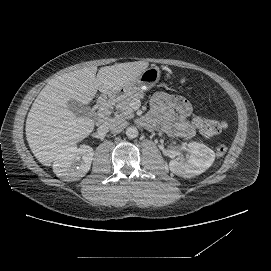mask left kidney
Masks as SVG:
<instances>
[{
    "mask_svg": "<svg viewBox=\"0 0 271 271\" xmlns=\"http://www.w3.org/2000/svg\"><path fill=\"white\" fill-rule=\"evenodd\" d=\"M188 157H180L169 162L170 171L186 178L199 175L206 171L215 160V153L206 145L191 142L187 145Z\"/></svg>",
    "mask_w": 271,
    "mask_h": 271,
    "instance_id": "obj_1",
    "label": "left kidney"
}]
</instances>
